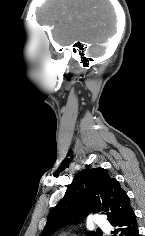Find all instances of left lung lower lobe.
I'll return each instance as SVG.
<instances>
[{"instance_id": "obj_1", "label": "left lung lower lobe", "mask_w": 145, "mask_h": 236, "mask_svg": "<svg viewBox=\"0 0 145 236\" xmlns=\"http://www.w3.org/2000/svg\"><path fill=\"white\" fill-rule=\"evenodd\" d=\"M113 236H139L135 213L131 208L122 218L111 223Z\"/></svg>"}]
</instances>
